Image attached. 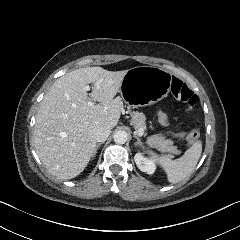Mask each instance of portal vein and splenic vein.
<instances>
[{
    "label": "portal vein and splenic vein",
    "instance_id": "portal-vein-and-splenic-vein-1",
    "mask_svg": "<svg viewBox=\"0 0 240 240\" xmlns=\"http://www.w3.org/2000/svg\"><path fill=\"white\" fill-rule=\"evenodd\" d=\"M89 89V88H88ZM91 106L93 105L92 102H88ZM138 135H142L144 133V129L142 127H139L136 132Z\"/></svg>",
    "mask_w": 240,
    "mask_h": 240
}]
</instances>
